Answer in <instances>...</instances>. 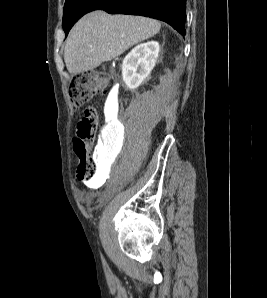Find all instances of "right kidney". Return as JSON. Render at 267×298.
I'll return each instance as SVG.
<instances>
[{
    "mask_svg": "<svg viewBox=\"0 0 267 298\" xmlns=\"http://www.w3.org/2000/svg\"><path fill=\"white\" fill-rule=\"evenodd\" d=\"M159 53V43L148 41L134 47L122 63V78L130 90H134L148 77Z\"/></svg>",
    "mask_w": 267,
    "mask_h": 298,
    "instance_id": "obj_1",
    "label": "right kidney"
}]
</instances>
